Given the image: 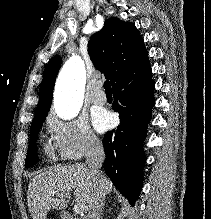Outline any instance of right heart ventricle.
Instances as JSON below:
<instances>
[{"label": "right heart ventricle", "mask_w": 211, "mask_h": 219, "mask_svg": "<svg viewBox=\"0 0 211 219\" xmlns=\"http://www.w3.org/2000/svg\"><path fill=\"white\" fill-rule=\"evenodd\" d=\"M45 152H46L49 156H53V153H52V151H51V149H50L49 146H45Z\"/></svg>", "instance_id": "1"}]
</instances>
